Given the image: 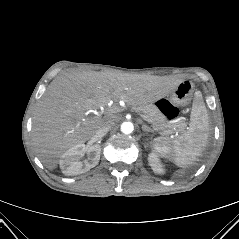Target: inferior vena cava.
I'll return each mask as SVG.
<instances>
[{
  "instance_id": "inferior-vena-cava-1",
  "label": "inferior vena cava",
  "mask_w": 239,
  "mask_h": 239,
  "mask_svg": "<svg viewBox=\"0 0 239 239\" xmlns=\"http://www.w3.org/2000/svg\"><path fill=\"white\" fill-rule=\"evenodd\" d=\"M113 124L114 123L112 121H105L104 123L101 124L99 129L96 131V135L98 136L105 135L111 129Z\"/></svg>"
}]
</instances>
